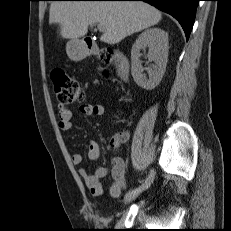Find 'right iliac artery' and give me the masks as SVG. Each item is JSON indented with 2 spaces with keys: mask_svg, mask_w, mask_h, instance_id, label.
<instances>
[{
  "mask_svg": "<svg viewBox=\"0 0 231 231\" xmlns=\"http://www.w3.org/2000/svg\"><path fill=\"white\" fill-rule=\"evenodd\" d=\"M139 187H140V186H139ZM139 187H138V188L133 189V190H132L129 194H131V193H134V192L138 191Z\"/></svg>",
  "mask_w": 231,
  "mask_h": 231,
  "instance_id": "82829eb1",
  "label": "right iliac artery"
}]
</instances>
